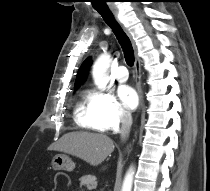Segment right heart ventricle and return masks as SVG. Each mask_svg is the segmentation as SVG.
Segmentation results:
<instances>
[{
  "label": "right heart ventricle",
  "instance_id": "right-heart-ventricle-1",
  "mask_svg": "<svg viewBox=\"0 0 210 191\" xmlns=\"http://www.w3.org/2000/svg\"><path fill=\"white\" fill-rule=\"evenodd\" d=\"M75 118L77 124L83 128L99 132L105 131L104 127L101 125L94 113L88 96H84L78 102L75 109Z\"/></svg>",
  "mask_w": 210,
  "mask_h": 191
}]
</instances>
